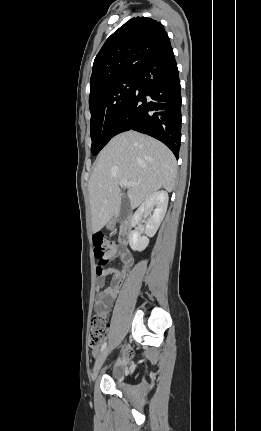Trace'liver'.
<instances>
[{"label":"liver","instance_id":"obj_1","mask_svg":"<svg viewBox=\"0 0 261 431\" xmlns=\"http://www.w3.org/2000/svg\"><path fill=\"white\" fill-rule=\"evenodd\" d=\"M177 163L160 141L135 131L121 133L102 149L90 177L88 190L93 232L100 231L121 203L120 180L136 183L127 191L133 208L160 188L173 191Z\"/></svg>","mask_w":261,"mask_h":431}]
</instances>
